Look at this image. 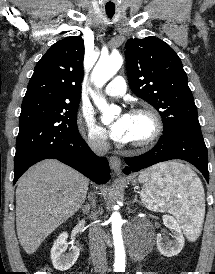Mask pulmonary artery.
<instances>
[{
  "instance_id": "pulmonary-artery-1",
  "label": "pulmonary artery",
  "mask_w": 215,
  "mask_h": 274,
  "mask_svg": "<svg viewBox=\"0 0 215 274\" xmlns=\"http://www.w3.org/2000/svg\"><path fill=\"white\" fill-rule=\"evenodd\" d=\"M109 96H121L126 92V82L122 76L114 77L104 89Z\"/></svg>"
}]
</instances>
